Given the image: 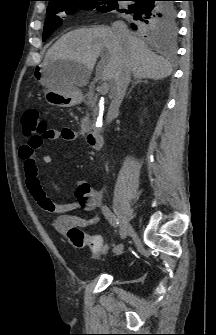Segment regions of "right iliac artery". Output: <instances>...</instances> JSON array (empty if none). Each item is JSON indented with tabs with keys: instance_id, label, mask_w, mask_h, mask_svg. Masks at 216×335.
Returning a JSON list of instances; mask_svg holds the SVG:
<instances>
[{
	"instance_id": "obj_1",
	"label": "right iliac artery",
	"mask_w": 216,
	"mask_h": 335,
	"mask_svg": "<svg viewBox=\"0 0 216 335\" xmlns=\"http://www.w3.org/2000/svg\"><path fill=\"white\" fill-rule=\"evenodd\" d=\"M102 212H103L104 216L106 217V219L108 220V222L113 227L117 228L118 225H119V220L117 219L115 214L112 212V210L109 207H107L106 205H104V206H102ZM122 251H123V244L116 245L112 250L114 255H119Z\"/></svg>"
}]
</instances>
